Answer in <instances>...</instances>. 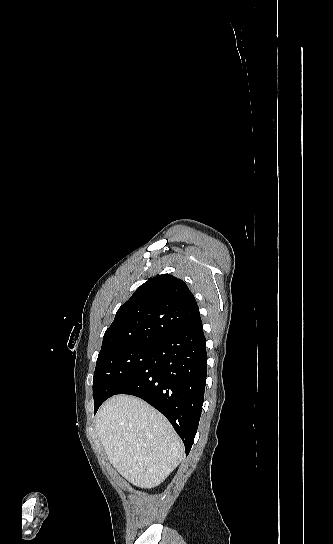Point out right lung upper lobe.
Listing matches in <instances>:
<instances>
[{
    "instance_id": "1",
    "label": "right lung upper lobe",
    "mask_w": 333,
    "mask_h": 544,
    "mask_svg": "<svg viewBox=\"0 0 333 544\" xmlns=\"http://www.w3.org/2000/svg\"><path fill=\"white\" fill-rule=\"evenodd\" d=\"M201 322L194 295L186 283L170 274L142 284L117 311L106 330L101 352L134 343L157 342Z\"/></svg>"
}]
</instances>
